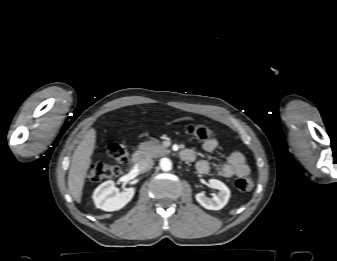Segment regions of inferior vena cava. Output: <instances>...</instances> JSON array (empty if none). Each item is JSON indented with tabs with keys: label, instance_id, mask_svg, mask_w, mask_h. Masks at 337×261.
Returning a JSON list of instances; mask_svg holds the SVG:
<instances>
[{
	"label": "inferior vena cava",
	"instance_id": "602c4592",
	"mask_svg": "<svg viewBox=\"0 0 337 261\" xmlns=\"http://www.w3.org/2000/svg\"><path fill=\"white\" fill-rule=\"evenodd\" d=\"M154 165V161L150 158H143L137 163V167L141 172L148 171Z\"/></svg>",
	"mask_w": 337,
	"mask_h": 261
}]
</instances>
